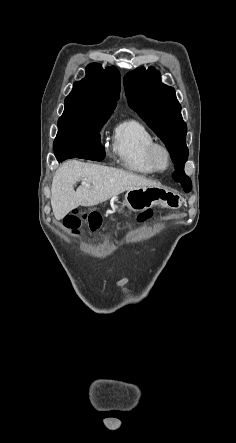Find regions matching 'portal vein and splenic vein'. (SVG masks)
Segmentation results:
<instances>
[{
	"label": "portal vein and splenic vein",
	"instance_id": "portal-vein-and-splenic-vein-1",
	"mask_svg": "<svg viewBox=\"0 0 236 443\" xmlns=\"http://www.w3.org/2000/svg\"><path fill=\"white\" fill-rule=\"evenodd\" d=\"M82 185H84L86 187H90L86 182H82Z\"/></svg>",
	"mask_w": 236,
	"mask_h": 443
}]
</instances>
